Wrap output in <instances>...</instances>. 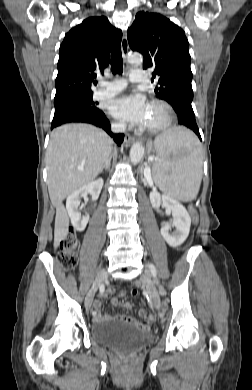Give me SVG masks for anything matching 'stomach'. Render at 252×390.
<instances>
[{
  "instance_id": "1",
  "label": "stomach",
  "mask_w": 252,
  "mask_h": 390,
  "mask_svg": "<svg viewBox=\"0 0 252 390\" xmlns=\"http://www.w3.org/2000/svg\"><path fill=\"white\" fill-rule=\"evenodd\" d=\"M167 159H168V160H171V159H172V155H169V156L167 157Z\"/></svg>"
}]
</instances>
